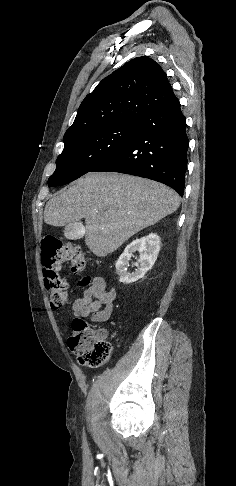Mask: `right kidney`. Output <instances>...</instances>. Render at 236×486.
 Here are the masks:
<instances>
[{
	"mask_svg": "<svg viewBox=\"0 0 236 486\" xmlns=\"http://www.w3.org/2000/svg\"><path fill=\"white\" fill-rule=\"evenodd\" d=\"M159 251L160 237L155 233L132 241L126 246L116 262V271L120 276L119 281L131 284L143 278L157 260ZM135 252L140 254L138 263L135 264L137 269L135 272L129 273L126 267L129 266V261Z\"/></svg>",
	"mask_w": 236,
	"mask_h": 486,
	"instance_id": "1",
	"label": "right kidney"
}]
</instances>
